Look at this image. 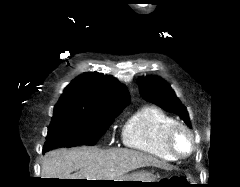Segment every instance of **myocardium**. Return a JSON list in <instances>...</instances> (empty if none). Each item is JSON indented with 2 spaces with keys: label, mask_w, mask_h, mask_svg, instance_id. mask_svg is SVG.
<instances>
[{
  "label": "myocardium",
  "mask_w": 240,
  "mask_h": 187,
  "mask_svg": "<svg viewBox=\"0 0 240 187\" xmlns=\"http://www.w3.org/2000/svg\"><path fill=\"white\" fill-rule=\"evenodd\" d=\"M167 146L177 158H186L195 150L191 131L182 124H175L167 132Z\"/></svg>",
  "instance_id": "myocardium-1"
}]
</instances>
